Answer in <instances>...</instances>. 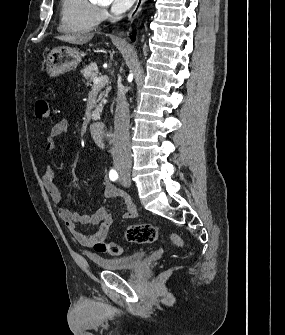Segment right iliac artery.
I'll list each match as a JSON object with an SVG mask.
<instances>
[{
  "label": "right iliac artery",
  "mask_w": 285,
  "mask_h": 335,
  "mask_svg": "<svg viewBox=\"0 0 285 335\" xmlns=\"http://www.w3.org/2000/svg\"><path fill=\"white\" fill-rule=\"evenodd\" d=\"M109 178H110V180H112V181L117 180V178H118V173H117L114 169H112V170L110 171V173H109Z\"/></svg>",
  "instance_id": "right-iliac-artery-1"
}]
</instances>
